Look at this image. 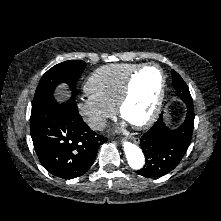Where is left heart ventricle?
<instances>
[{
    "label": "left heart ventricle",
    "instance_id": "left-heart-ventricle-1",
    "mask_svg": "<svg viewBox=\"0 0 221 221\" xmlns=\"http://www.w3.org/2000/svg\"><path fill=\"white\" fill-rule=\"evenodd\" d=\"M161 87V75L156 68L141 71L133 81L132 95L123 109V118L137 124L151 114Z\"/></svg>",
    "mask_w": 221,
    "mask_h": 221
}]
</instances>
